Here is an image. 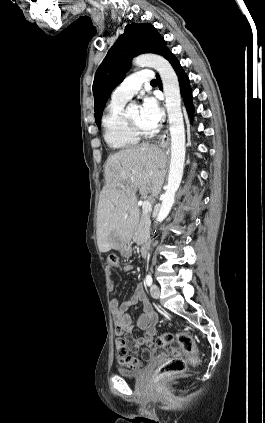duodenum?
Returning <instances> with one entry per match:
<instances>
[{
    "label": "duodenum",
    "instance_id": "410a0bca",
    "mask_svg": "<svg viewBox=\"0 0 265 423\" xmlns=\"http://www.w3.org/2000/svg\"><path fill=\"white\" fill-rule=\"evenodd\" d=\"M150 252H151V243L150 242L144 243L141 246L140 255L143 257H148L150 256Z\"/></svg>",
    "mask_w": 265,
    "mask_h": 423
}]
</instances>
